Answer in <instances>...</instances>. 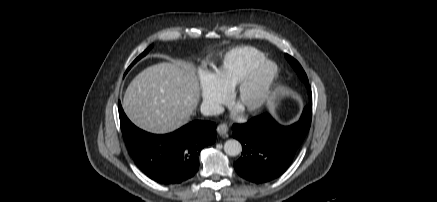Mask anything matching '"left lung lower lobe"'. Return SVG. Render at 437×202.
Returning a JSON list of instances; mask_svg holds the SVG:
<instances>
[{
	"label": "left lung lower lobe",
	"instance_id": "1",
	"mask_svg": "<svg viewBox=\"0 0 437 202\" xmlns=\"http://www.w3.org/2000/svg\"><path fill=\"white\" fill-rule=\"evenodd\" d=\"M312 103L303 110L296 123L280 125L264 113L245 124L233 125V137L243 147L242 156L234 163L235 171L244 179L263 183L282 175L309 131Z\"/></svg>",
	"mask_w": 437,
	"mask_h": 202
}]
</instances>
